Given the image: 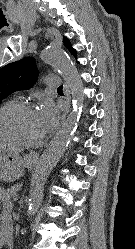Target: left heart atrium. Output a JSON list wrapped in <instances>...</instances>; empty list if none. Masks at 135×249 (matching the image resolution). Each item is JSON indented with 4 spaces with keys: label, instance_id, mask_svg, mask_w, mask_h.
I'll return each mask as SVG.
<instances>
[{
    "label": "left heart atrium",
    "instance_id": "39dd6f15",
    "mask_svg": "<svg viewBox=\"0 0 135 249\" xmlns=\"http://www.w3.org/2000/svg\"><path fill=\"white\" fill-rule=\"evenodd\" d=\"M38 119L43 133L50 131L58 122L59 111L55 103L46 99L37 110Z\"/></svg>",
    "mask_w": 135,
    "mask_h": 249
}]
</instances>
